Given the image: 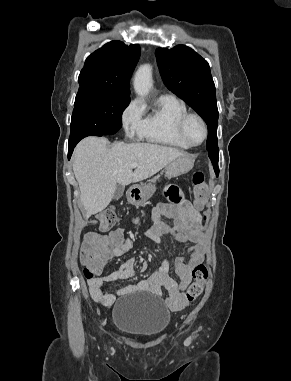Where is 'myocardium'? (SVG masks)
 Segmentation results:
<instances>
[{
    "instance_id": "myocardium-1",
    "label": "myocardium",
    "mask_w": 291,
    "mask_h": 381,
    "mask_svg": "<svg viewBox=\"0 0 291 381\" xmlns=\"http://www.w3.org/2000/svg\"><path fill=\"white\" fill-rule=\"evenodd\" d=\"M192 118H195L197 119L201 125H202V128H203V137H202V140L198 143H195L193 142L190 137L188 136V133H187V129H186V126H187V122L192 119ZM178 132L180 134V136L191 146V147H197V146H200L202 145L206 139H207V136H208V126H207V123L205 121V119L197 114V113H187L185 114L180 120H179V123H178Z\"/></svg>"
}]
</instances>
